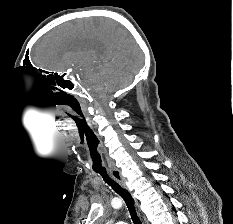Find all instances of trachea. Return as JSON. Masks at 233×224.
<instances>
[{"instance_id":"trachea-1","label":"trachea","mask_w":233,"mask_h":224,"mask_svg":"<svg viewBox=\"0 0 233 224\" xmlns=\"http://www.w3.org/2000/svg\"><path fill=\"white\" fill-rule=\"evenodd\" d=\"M99 175H101V177L103 178V180L112 187V189L119 194L123 200L125 201L127 208L130 212L132 221L134 224H142L140 217L137 213L135 204H134V200L131 197L130 193L124 189L122 186H120L116 181H114L113 179L110 178V176L108 175L107 172H97Z\"/></svg>"}]
</instances>
